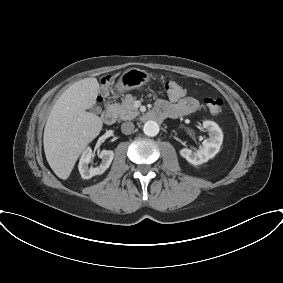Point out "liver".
Here are the masks:
<instances>
[{"label":"liver","instance_id":"6515ba94","mask_svg":"<svg viewBox=\"0 0 283 283\" xmlns=\"http://www.w3.org/2000/svg\"><path fill=\"white\" fill-rule=\"evenodd\" d=\"M96 78L72 84L56 101L47 119L43 143L48 164L66 180L82 151L102 130L99 116L86 110L95 104L99 92Z\"/></svg>","mask_w":283,"mask_h":283}]
</instances>
